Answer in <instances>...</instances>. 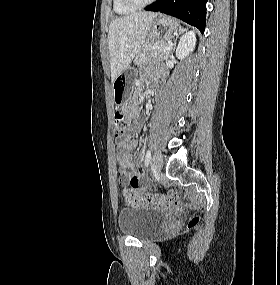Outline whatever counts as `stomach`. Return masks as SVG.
Listing matches in <instances>:
<instances>
[{
	"instance_id": "obj_1",
	"label": "stomach",
	"mask_w": 280,
	"mask_h": 285,
	"mask_svg": "<svg viewBox=\"0 0 280 285\" xmlns=\"http://www.w3.org/2000/svg\"><path fill=\"white\" fill-rule=\"evenodd\" d=\"M178 30V25L170 18L161 16L156 18L148 32V42H154L160 39L171 38ZM130 73L123 71L113 82V95L116 105H126L131 99L130 92Z\"/></svg>"
}]
</instances>
